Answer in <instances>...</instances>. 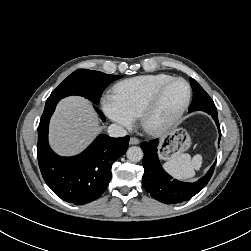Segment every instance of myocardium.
Instances as JSON below:
<instances>
[{"label": "myocardium", "mask_w": 251, "mask_h": 251, "mask_svg": "<svg viewBox=\"0 0 251 251\" xmlns=\"http://www.w3.org/2000/svg\"><path fill=\"white\" fill-rule=\"evenodd\" d=\"M177 81L183 82L187 88V97H186L185 102L180 107V109L174 115H172L169 119H167L166 121L160 122V123H155L153 121V115L157 109V106L159 104L160 98H161L164 90L170 84L177 82ZM191 97H192L191 86H190L189 82L182 77H173V78L167 80L166 82H164L163 84H161L152 93V95L150 96L149 100L147 101V103L145 104L144 108L142 109V111L140 113V116H139L140 124H141L142 128L144 129V131L147 132L148 134H151V135H159V134L165 133L168 130H170L172 127H174L179 122V120L181 119V117L183 116V114L185 113L187 108L189 107V104L191 102Z\"/></svg>", "instance_id": "1"}]
</instances>
